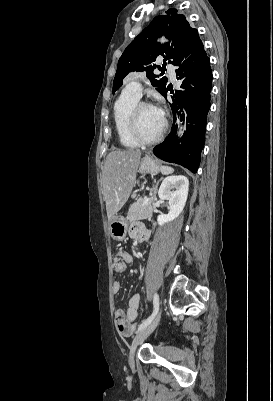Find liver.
I'll use <instances>...</instances> for the list:
<instances>
[{
	"mask_svg": "<svg viewBox=\"0 0 273 401\" xmlns=\"http://www.w3.org/2000/svg\"><path fill=\"white\" fill-rule=\"evenodd\" d=\"M140 158V150L116 148L107 154L103 170V194L108 219L117 215L128 201Z\"/></svg>",
	"mask_w": 273,
	"mask_h": 401,
	"instance_id": "1",
	"label": "liver"
}]
</instances>
